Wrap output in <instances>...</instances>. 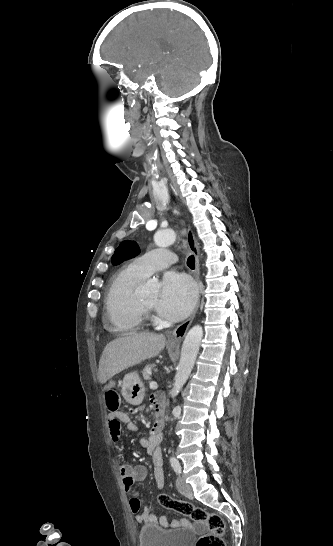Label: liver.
I'll return each mask as SVG.
<instances>
[{
    "instance_id": "liver-1",
    "label": "liver",
    "mask_w": 333,
    "mask_h": 546,
    "mask_svg": "<svg viewBox=\"0 0 333 546\" xmlns=\"http://www.w3.org/2000/svg\"><path fill=\"white\" fill-rule=\"evenodd\" d=\"M165 344L163 335L149 333H129L113 340L106 345L100 358V382L104 384L119 372L157 356Z\"/></svg>"
}]
</instances>
